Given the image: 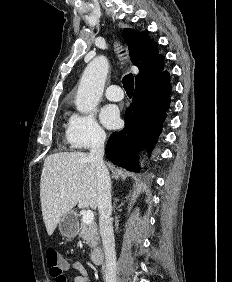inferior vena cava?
I'll list each match as a JSON object with an SVG mask.
<instances>
[{"label":"inferior vena cava","mask_w":232,"mask_h":282,"mask_svg":"<svg viewBox=\"0 0 232 282\" xmlns=\"http://www.w3.org/2000/svg\"><path fill=\"white\" fill-rule=\"evenodd\" d=\"M105 139V132H97L88 159L94 163L97 171V205L99 209L100 234L105 252V276L107 281L115 282L116 252L111 222V179L103 160Z\"/></svg>","instance_id":"602c4592"}]
</instances>
